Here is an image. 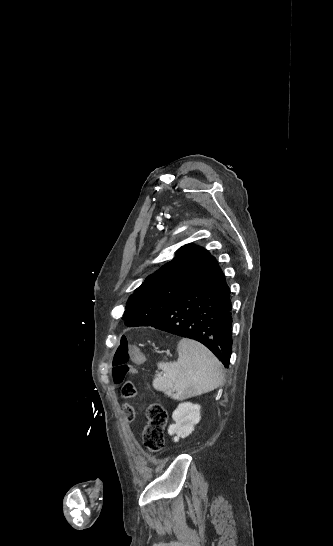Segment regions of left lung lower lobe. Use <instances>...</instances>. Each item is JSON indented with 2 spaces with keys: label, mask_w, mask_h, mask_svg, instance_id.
Instances as JSON below:
<instances>
[{
  "label": "left lung lower lobe",
  "mask_w": 333,
  "mask_h": 546,
  "mask_svg": "<svg viewBox=\"0 0 333 546\" xmlns=\"http://www.w3.org/2000/svg\"><path fill=\"white\" fill-rule=\"evenodd\" d=\"M125 325L152 326L197 340L228 368L232 353V306L230 289L215 257L210 256L189 288L163 308L154 323L141 325L137 316L130 315Z\"/></svg>",
  "instance_id": "left-lung-lower-lobe-1"
}]
</instances>
